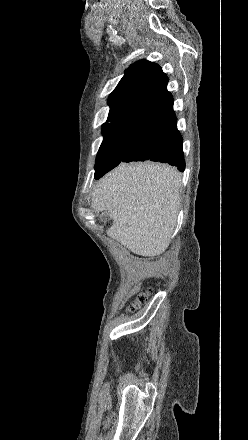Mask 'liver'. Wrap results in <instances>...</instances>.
I'll use <instances>...</instances> for the list:
<instances>
[{"label":"liver","instance_id":"1","mask_svg":"<svg viewBox=\"0 0 248 440\" xmlns=\"http://www.w3.org/2000/svg\"><path fill=\"white\" fill-rule=\"evenodd\" d=\"M181 176L153 162L122 163L97 184L91 207L108 211V234L131 252L154 257L169 246L179 211Z\"/></svg>","mask_w":248,"mask_h":440}]
</instances>
